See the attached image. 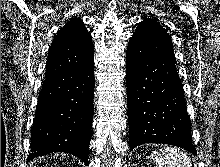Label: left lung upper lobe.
Segmentation results:
<instances>
[{"instance_id":"1","label":"left lung upper lobe","mask_w":220,"mask_h":167,"mask_svg":"<svg viewBox=\"0 0 220 167\" xmlns=\"http://www.w3.org/2000/svg\"><path fill=\"white\" fill-rule=\"evenodd\" d=\"M128 49L135 55L175 61L171 37L162 25L152 19H146L139 25L129 41Z\"/></svg>"}]
</instances>
